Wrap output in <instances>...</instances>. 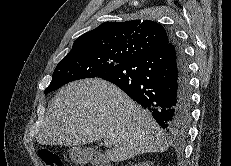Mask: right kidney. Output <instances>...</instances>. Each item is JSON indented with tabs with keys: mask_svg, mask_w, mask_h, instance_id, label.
Segmentation results:
<instances>
[{
	"mask_svg": "<svg viewBox=\"0 0 231 166\" xmlns=\"http://www.w3.org/2000/svg\"><path fill=\"white\" fill-rule=\"evenodd\" d=\"M134 166H150V163L146 162H140L138 164H135Z\"/></svg>",
	"mask_w": 231,
	"mask_h": 166,
	"instance_id": "right-kidney-1",
	"label": "right kidney"
}]
</instances>
